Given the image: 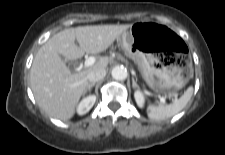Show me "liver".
Segmentation results:
<instances>
[{
    "mask_svg": "<svg viewBox=\"0 0 225 155\" xmlns=\"http://www.w3.org/2000/svg\"><path fill=\"white\" fill-rule=\"evenodd\" d=\"M132 24L94 25L65 29L52 36L37 52L30 70V86L38 106L50 117L67 121L75 114L80 98L89 85L87 75L106 68L102 57L83 71L72 73L66 60L106 51ZM79 46L75 44V41Z\"/></svg>",
    "mask_w": 225,
    "mask_h": 155,
    "instance_id": "6515ba94",
    "label": "liver"
}]
</instances>
